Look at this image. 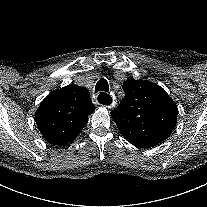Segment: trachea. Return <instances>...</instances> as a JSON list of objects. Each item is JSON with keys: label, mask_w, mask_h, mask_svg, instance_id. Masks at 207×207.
I'll return each instance as SVG.
<instances>
[{"label": "trachea", "mask_w": 207, "mask_h": 207, "mask_svg": "<svg viewBox=\"0 0 207 207\" xmlns=\"http://www.w3.org/2000/svg\"><path fill=\"white\" fill-rule=\"evenodd\" d=\"M95 91L96 92L97 91H106V92H108L109 91V85H108L107 80H105L104 78H101L95 86ZM98 101L101 104L108 105V104H111L112 98L109 95H106L105 93H101L98 97Z\"/></svg>", "instance_id": "3493384b"}]
</instances>
